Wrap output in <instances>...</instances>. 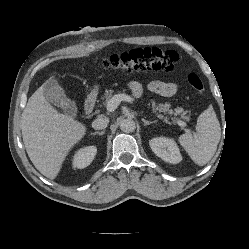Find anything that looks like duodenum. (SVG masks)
I'll return each instance as SVG.
<instances>
[{
  "label": "duodenum",
  "mask_w": 249,
  "mask_h": 249,
  "mask_svg": "<svg viewBox=\"0 0 249 249\" xmlns=\"http://www.w3.org/2000/svg\"><path fill=\"white\" fill-rule=\"evenodd\" d=\"M96 101H97V93L91 92L87 96L84 104V113L87 117L92 116V114L94 113Z\"/></svg>",
  "instance_id": "duodenum-1"
}]
</instances>
